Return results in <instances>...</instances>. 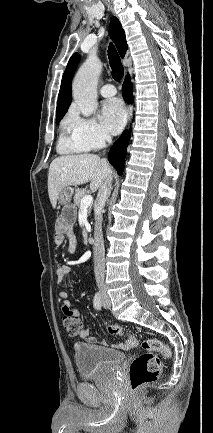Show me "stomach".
Wrapping results in <instances>:
<instances>
[{"mask_svg": "<svg viewBox=\"0 0 213 433\" xmlns=\"http://www.w3.org/2000/svg\"><path fill=\"white\" fill-rule=\"evenodd\" d=\"M73 195V189L71 187H65L63 188L58 196V201L61 205H69L71 202V198Z\"/></svg>", "mask_w": 213, "mask_h": 433, "instance_id": "1", "label": "stomach"}]
</instances>
